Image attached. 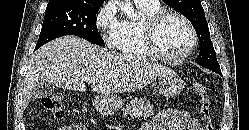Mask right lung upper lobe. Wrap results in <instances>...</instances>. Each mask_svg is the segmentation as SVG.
Here are the masks:
<instances>
[{"mask_svg": "<svg viewBox=\"0 0 249 130\" xmlns=\"http://www.w3.org/2000/svg\"><path fill=\"white\" fill-rule=\"evenodd\" d=\"M58 2H72V3H77V4H102L104 0H50L48 5H51L53 3H58Z\"/></svg>", "mask_w": 249, "mask_h": 130, "instance_id": "1", "label": "right lung upper lobe"}]
</instances>
